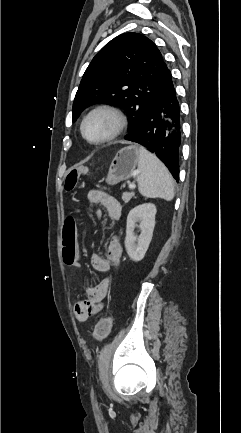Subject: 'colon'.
I'll use <instances>...</instances> for the list:
<instances>
[{"label":"colon","instance_id":"1","mask_svg":"<svg viewBox=\"0 0 241 433\" xmlns=\"http://www.w3.org/2000/svg\"><path fill=\"white\" fill-rule=\"evenodd\" d=\"M87 168H75L72 167L70 172H67L62 182L63 190H76L77 186L80 185V177H87ZM64 219V231H63V261L72 265L77 259V251L80 249L79 236L80 231L77 228V219L75 218L74 212H66ZM113 324V318L111 315H105L97 323L94 332L93 339L97 342L104 340L110 333Z\"/></svg>","mask_w":241,"mask_h":433}]
</instances>
